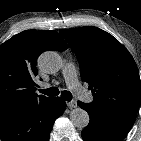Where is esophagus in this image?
<instances>
[{
    "mask_svg": "<svg viewBox=\"0 0 141 141\" xmlns=\"http://www.w3.org/2000/svg\"><path fill=\"white\" fill-rule=\"evenodd\" d=\"M66 104H67V106H68L69 108H71V109L77 107V102H76L75 100H72V101H70V102H67Z\"/></svg>",
    "mask_w": 141,
    "mask_h": 141,
    "instance_id": "obj_1",
    "label": "esophagus"
}]
</instances>
